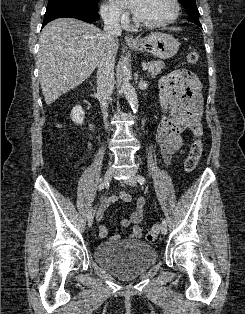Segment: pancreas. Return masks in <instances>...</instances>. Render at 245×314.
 <instances>
[{"instance_id":"pancreas-1","label":"pancreas","mask_w":245,"mask_h":314,"mask_svg":"<svg viewBox=\"0 0 245 314\" xmlns=\"http://www.w3.org/2000/svg\"><path fill=\"white\" fill-rule=\"evenodd\" d=\"M163 63L161 61H152L148 63V75L152 78L156 77L161 73L163 69Z\"/></svg>"}]
</instances>
